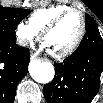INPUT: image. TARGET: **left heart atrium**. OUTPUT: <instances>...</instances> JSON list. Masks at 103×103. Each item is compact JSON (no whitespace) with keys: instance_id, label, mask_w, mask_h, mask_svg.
I'll return each instance as SVG.
<instances>
[{"instance_id":"39dd6f15","label":"left heart atrium","mask_w":103,"mask_h":103,"mask_svg":"<svg viewBox=\"0 0 103 103\" xmlns=\"http://www.w3.org/2000/svg\"><path fill=\"white\" fill-rule=\"evenodd\" d=\"M40 48H42V49H48L47 44L44 41H42L40 43Z\"/></svg>"}]
</instances>
